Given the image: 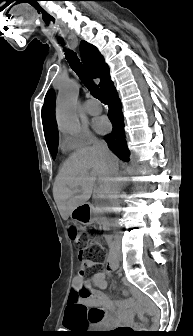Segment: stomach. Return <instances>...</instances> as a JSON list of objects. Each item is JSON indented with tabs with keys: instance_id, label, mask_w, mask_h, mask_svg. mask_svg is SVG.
Returning <instances> with one entry per match:
<instances>
[{
	"instance_id": "stomach-1",
	"label": "stomach",
	"mask_w": 193,
	"mask_h": 336,
	"mask_svg": "<svg viewBox=\"0 0 193 336\" xmlns=\"http://www.w3.org/2000/svg\"><path fill=\"white\" fill-rule=\"evenodd\" d=\"M70 216L75 222H79L83 225H90L94 222L93 211L89 205L86 204L76 207Z\"/></svg>"
}]
</instances>
